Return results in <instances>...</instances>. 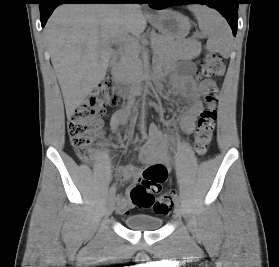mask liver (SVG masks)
<instances>
[{
    "label": "liver",
    "mask_w": 279,
    "mask_h": 267,
    "mask_svg": "<svg viewBox=\"0 0 279 267\" xmlns=\"http://www.w3.org/2000/svg\"><path fill=\"white\" fill-rule=\"evenodd\" d=\"M145 28L139 7L64 4L53 12L44 33L68 118L104 79L113 54L110 43L126 42Z\"/></svg>",
    "instance_id": "6515ba94"
}]
</instances>
